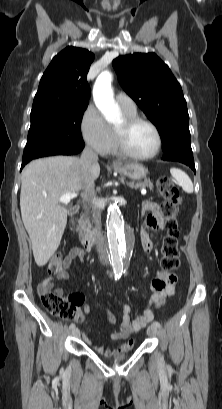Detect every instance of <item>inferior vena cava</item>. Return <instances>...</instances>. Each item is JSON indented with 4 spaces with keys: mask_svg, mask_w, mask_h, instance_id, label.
Wrapping results in <instances>:
<instances>
[{
    "mask_svg": "<svg viewBox=\"0 0 222 409\" xmlns=\"http://www.w3.org/2000/svg\"><path fill=\"white\" fill-rule=\"evenodd\" d=\"M80 164L84 171L89 172L93 165L98 164V155L90 148L86 146L82 152L80 158ZM94 194V180L89 178L86 185L84 186V194L83 198L85 201L89 202L92 208V218L93 222L97 228L96 234V247L97 252L99 254L100 261L107 264V253H106V245L103 240L102 233L100 230L101 225V210L97 206L95 198L92 196Z\"/></svg>",
    "mask_w": 222,
    "mask_h": 409,
    "instance_id": "inferior-vena-cava-1",
    "label": "inferior vena cava"
}]
</instances>
